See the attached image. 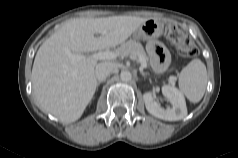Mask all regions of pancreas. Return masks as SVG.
Returning <instances> with one entry per match:
<instances>
[{
    "label": "pancreas",
    "instance_id": "cf45deb5",
    "mask_svg": "<svg viewBox=\"0 0 238 158\" xmlns=\"http://www.w3.org/2000/svg\"><path fill=\"white\" fill-rule=\"evenodd\" d=\"M115 52L118 56L127 57L130 56L140 62V59H143L146 63L148 62V57L141 45V43L136 42L135 40H129L125 43H122L119 47L115 49ZM169 82L172 83L173 80L169 78Z\"/></svg>",
    "mask_w": 238,
    "mask_h": 158
}]
</instances>
